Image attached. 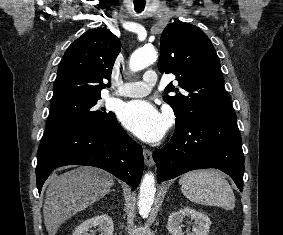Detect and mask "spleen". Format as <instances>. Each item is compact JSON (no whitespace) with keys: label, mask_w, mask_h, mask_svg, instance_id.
<instances>
[{"label":"spleen","mask_w":283,"mask_h":235,"mask_svg":"<svg viewBox=\"0 0 283 235\" xmlns=\"http://www.w3.org/2000/svg\"><path fill=\"white\" fill-rule=\"evenodd\" d=\"M181 191L191 202L218 206L226 210L235 207V196L227 180L216 170H195L180 180Z\"/></svg>","instance_id":"3e777b00"}]
</instances>
